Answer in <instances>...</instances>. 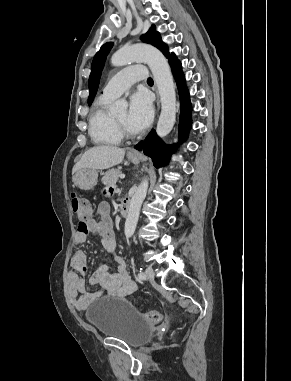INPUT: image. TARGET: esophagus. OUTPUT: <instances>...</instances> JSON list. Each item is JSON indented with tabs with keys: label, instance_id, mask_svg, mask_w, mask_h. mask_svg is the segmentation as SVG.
Returning a JSON list of instances; mask_svg holds the SVG:
<instances>
[{
	"label": "esophagus",
	"instance_id": "34e87169",
	"mask_svg": "<svg viewBox=\"0 0 291 381\" xmlns=\"http://www.w3.org/2000/svg\"><path fill=\"white\" fill-rule=\"evenodd\" d=\"M155 92H156V95H157V111H158V110H159V107H160V100H159V94H158V91H157L156 88H155ZM129 153H132V154H138V152L135 151V150H133V149H131V150L129 151Z\"/></svg>",
	"mask_w": 291,
	"mask_h": 381
}]
</instances>
